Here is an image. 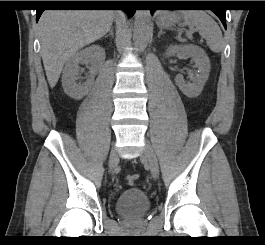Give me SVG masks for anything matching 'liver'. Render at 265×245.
<instances>
[{"label": "liver", "mask_w": 265, "mask_h": 245, "mask_svg": "<svg viewBox=\"0 0 265 245\" xmlns=\"http://www.w3.org/2000/svg\"><path fill=\"white\" fill-rule=\"evenodd\" d=\"M117 13L110 10H47L38 23L41 56L51 88L80 48L102 38Z\"/></svg>", "instance_id": "1"}]
</instances>
